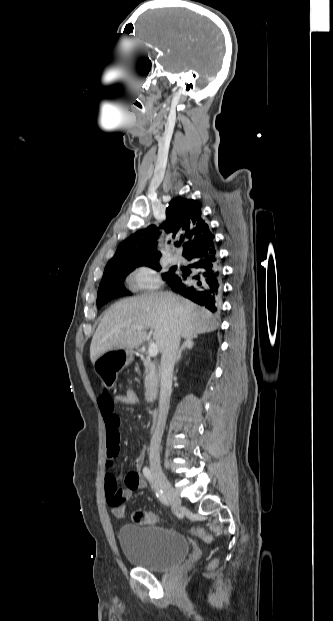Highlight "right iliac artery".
<instances>
[{"mask_svg":"<svg viewBox=\"0 0 333 621\" xmlns=\"http://www.w3.org/2000/svg\"><path fill=\"white\" fill-rule=\"evenodd\" d=\"M143 474L146 477V479L152 484V488L154 489L157 498L164 505L169 506V501H168L167 497L165 496L164 492L156 485V482H154L153 474H152L151 470L147 466H145L143 468Z\"/></svg>","mask_w":333,"mask_h":621,"instance_id":"1","label":"right iliac artery"}]
</instances>
